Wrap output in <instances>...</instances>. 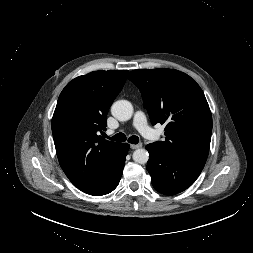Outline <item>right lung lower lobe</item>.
<instances>
[{
  "label": "right lung lower lobe",
  "mask_w": 253,
  "mask_h": 253,
  "mask_svg": "<svg viewBox=\"0 0 253 253\" xmlns=\"http://www.w3.org/2000/svg\"><path fill=\"white\" fill-rule=\"evenodd\" d=\"M128 150L129 145L121 143L95 181L80 190L93 196H101L112 192L121 179Z\"/></svg>",
  "instance_id": "obj_1"
}]
</instances>
